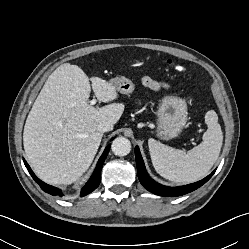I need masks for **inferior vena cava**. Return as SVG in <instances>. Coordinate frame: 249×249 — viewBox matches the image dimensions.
<instances>
[{"label":"inferior vena cava","mask_w":249,"mask_h":249,"mask_svg":"<svg viewBox=\"0 0 249 249\" xmlns=\"http://www.w3.org/2000/svg\"><path fill=\"white\" fill-rule=\"evenodd\" d=\"M97 129L99 132L104 133L111 131L113 129V126L109 122L102 121L98 124Z\"/></svg>","instance_id":"602c4592"}]
</instances>
